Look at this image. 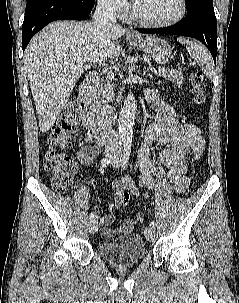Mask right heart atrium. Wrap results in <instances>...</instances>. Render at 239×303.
Returning a JSON list of instances; mask_svg holds the SVG:
<instances>
[{"instance_id":"1","label":"right heart atrium","mask_w":239,"mask_h":303,"mask_svg":"<svg viewBox=\"0 0 239 303\" xmlns=\"http://www.w3.org/2000/svg\"><path fill=\"white\" fill-rule=\"evenodd\" d=\"M100 6L111 14L124 17L129 9L126 0H97Z\"/></svg>"}]
</instances>
